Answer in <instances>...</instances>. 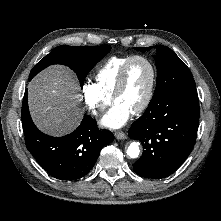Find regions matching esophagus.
<instances>
[{"instance_id":"1","label":"esophagus","mask_w":221,"mask_h":221,"mask_svg":"<svg viewBox=\"0 0 221 221\" xmlns=\"http://www.w3.org/2000/svg\"><path fill=\"white\" fill-rule=\"evenodd\" d=\"M114 136H115L116 139H118V140H124V139L127 138V135H126L124 132H122V131H115V132H114Z\"/></svg>"}]
</instances>
